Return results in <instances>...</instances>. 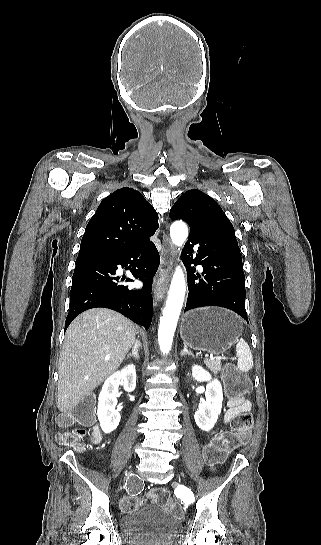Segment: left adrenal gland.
I'll return each mask as SVG.
<instances>
[{"mask_svg":"<svg viewBox=\"0 0 321 545\" xmlns=\"http://www.w3.org/2000/svg\"><path fill=\"white\" fill-rule=\"evenodd\" d=\"M184 355H191V357H194L193 353L191 351H188L187 345H184L183 351H181V357H184Z\"/></svg>","mask_w":321,"mask_h":545,"instance_id":"1","label":"left adrenal gland"}]
</instances>
